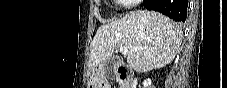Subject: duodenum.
<instances>
[{
    "mask_svg": "<svg viewBox=\"0 0 227 88\" xmlns=\"http://www.w3.org/2000/svg\"><path fill=\"white\" fill-rule=\"evenodd\" d=\"M123 88H136L137 84L135 82L132 71L128 68L127 64L123 61H117L114 64Z\"/></svg>",
    "mask_w": 227,
    "mask_h": 88,
    "instance_id": "1",
    "label": "duodenum"
}]
</instances>
